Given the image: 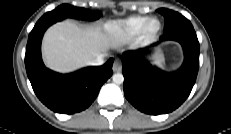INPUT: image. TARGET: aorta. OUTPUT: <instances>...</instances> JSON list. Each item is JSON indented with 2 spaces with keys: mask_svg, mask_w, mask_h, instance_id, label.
Here are the masks:
<instances>
[{
  "mask_svg": "<svg viewBox=\"0 0 231 134\" xmlns=\"http://www.w3.org/2000/svg\"><path fill=\"white\" fill-rule=\"evenodd\" d=\"M112 79L115 84H122L124 81V77L121 73L114 74Z\"/></svg>",
  "mask_w": 231,
  "mask_h": 134,
  "instance_id": "obj_1",
  "label": "aorta"
}]
</instances>
